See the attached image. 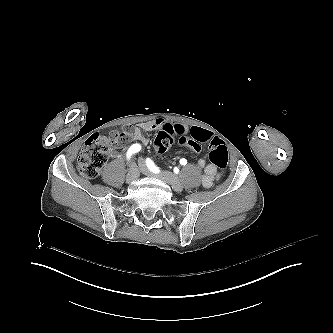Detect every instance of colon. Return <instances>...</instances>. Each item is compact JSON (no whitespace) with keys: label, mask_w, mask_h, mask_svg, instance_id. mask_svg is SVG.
<instances>
[{"label":"colon","mask_w":333,"mask_h":333,"mask_svg":"<svg viewBox=\"0 0 333 333\" xmlns=\"http://www.w3.org/2000/svg\"><path fill=\"white\" fill-rule=\"evenodd\" d=\"M183 126L181 123H170L161 128L155 136L153 149L164 153L174 142L176 148H182L187 144L192 152L199 154L203 152L205 146L209 145L210 162L219 169L227 167L228 150L223 140L214 138L212 132L191 125H186L188 131L183 134ZM135 132V128L129 125L120 130L112 128L108 130L106 136H91L85 142L79 156L80 172L88 178L97 177L107 161L110 147L121 148L123 143L135 135Z\"/></svg>","instance_id":"1"}]
</instances>
